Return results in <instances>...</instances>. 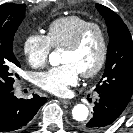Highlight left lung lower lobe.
<instances>
[{"label":"left lung lower lobe","instance_id":"left-lung-lower-lobe-1","mask_svg":"<svg viewBox=\"0 0 133 133\" xmlns=\"http://www.w3.org/2000/svg\"><path fill=\"white\" fill-rule=\"evenodd\" d=\"M97 93L99 98L93 108V117L81 127L84 133H100L106 129L121 115L129 102L109 92Z\"/></svg>","mask_w":133,"mask_h":133}]
</instances>
